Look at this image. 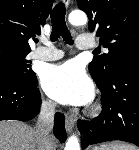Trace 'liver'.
<instances>
[{
    "label": "liver",
    "mask_w": 139,
    "mask_h": 150,
    "mask_svg": "<svg viewBox=\"0 0 139 150\" xmlns=\"http://www.w3.org/2000/svg\"><path fill=\"white\" fill-rule=\"evenodd\" d=\"M38 148V139L32 127L19 121L0 122V150H39Z\"/></svg>",
    "instance_id": "1"
}]
</instances>
